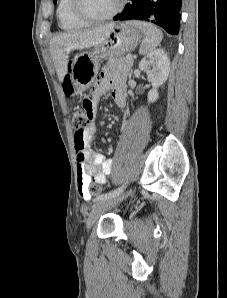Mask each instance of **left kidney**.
<instances>
[{
  "label": "left kidney",
  "mask_w": 227,
  "mask_h": 298,
  "mask_svg": "<svg viewBox=\"0 0 227 298\" xmlns=\"http://www.w3.org/2000/svg\"><path fill=\"white\" fill-rule=\"evenodd\" d=\"M139 69L145 71L152 89L148 93V102H155L158 97V87L168 78L170 61L163 49H156L147 54L139 63Z\"/></svg>",
  "instance_id": "obj_1"
}]
</instances>
